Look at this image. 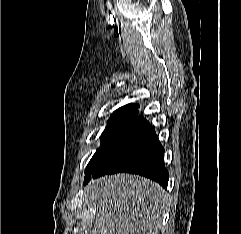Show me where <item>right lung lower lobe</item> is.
I'll return each instance as SVG.
<instances>
[{
    "label": "right lung lower lobe",
    "mask_w": 241,
    "mask_h": 234,
    "mask_svg": "<svg viewBox=\"0 0 241 234\" xmlns=\"http://www.w3.org/2000/svg\"><path fill=\"white\" fill-rule=\"evenodd\" d=\"M164 148L153 127L138 108L102 143L85 171V183L91 177L127 172L158 182L167 188L169 174L165 168Z\"/></svg>",
    "instance_id": "98d812e1"
}]
</instances>
